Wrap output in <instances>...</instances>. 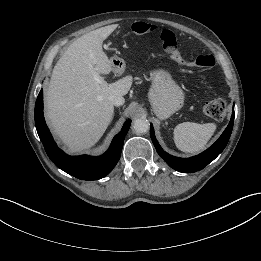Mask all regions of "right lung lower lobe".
Instances as JSON below:
<instances>
[{"mask_svg": "<svg viewBox=\"0 0 261 261\" xmlns=\"http://www.w3.org/2000/svg\"><path fill=\"white\" fill-rule=\"evenodd\" d=\"M131 120L123 125L110 145L109 150L99 157L88 155L69 156L60 150L54 142L43 116V90L35 104V125L45 151L51 161L66 173L82 180H98L108 175L120 159L124 138L130 128Z\"/></svg>", "mask_w": 261, "mask_h": 261, "instance_id": "right-lung-lower-lobe-1", "label": "right lung lower lobe"}]
</instances>
